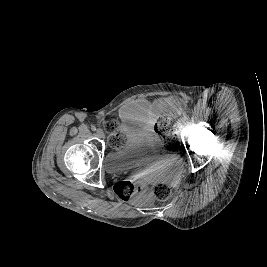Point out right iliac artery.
Instances as JSON below:
<instances>
[{
	"label": "right iliac artery",
	"mask_w": 267,
	"mask_h": 267,
	"mask_svg": "<svg viewBox=\"0 0 267 267\" xmlns=\"http://www.w3.org/2000/svg\"><path fill=\"white\" fill-rule=\"evenodd\" d=\"M91 129H92L93 131H95V130H96V127H95V126H92Z\"/></svg>",
	"instance_id": "right-iliac-artery-1"
}]
</instances>
